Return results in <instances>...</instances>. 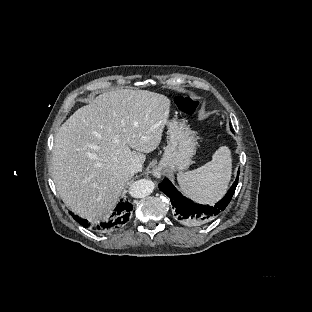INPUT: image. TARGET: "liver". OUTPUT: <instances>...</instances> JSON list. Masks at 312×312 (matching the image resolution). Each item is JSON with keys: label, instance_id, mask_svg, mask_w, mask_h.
Here are the masks:
<instances>
[{"label": "liver", "instance_id": "1", "mask_svg": "<svg viewBox=\"0 0 312 312\" xmlns=\"http://www.w3.org/2000/svg\"><path fill=\"white\" fill-rule=\"evenodd\" d=\"M171 102L146 90L106 92L77 110L54 139L50 173L65 204L82 218L108 216L135 161L161 144Z\"/></svg>", "mask_w": 312, "mask_h": 312}]
</instances>
